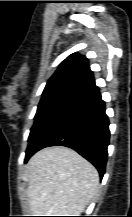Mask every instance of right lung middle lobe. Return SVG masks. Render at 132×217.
Wrapping results in <instances>:
<instances>
[{"mask_svg": "<svg viewBox=\"0 0 132 217\" xmlns=\"http://www.w3.org/2000/svg\"><path fill=\"white\" fill-rule=\"evenodd\" d=\"M76 98L75 95L65 92H52L42 95L35 115V122L28 138V148L33 145L54 117Z\"/></svg>", "mask_w": 132, "mask_h": 217, "instance_id": "dd1d6c3e", "label": "right lung middle lobe"}]
</instances>
